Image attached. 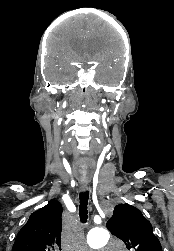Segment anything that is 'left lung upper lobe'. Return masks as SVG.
I'll list each match as a JSON object with an SVG mask.
<instances>
[{
    "mask_svg": "<svg viewBox=\"0 0 174 251\" xmlns=\"http://www.w3.org/2000/svg\"><path fill=\"white\" fill-rule=\"evenodd\" d=\"M107 228L113 235L123 240L130 251H162L152 225L135 207L119 204L113 216L107 222Z\"/></svg>",
    "mask_w": 174,
    "mask_h": 251,
    "instance_id": "5c2ea615",
    "label": "left lung upper lobe"
}]
</instances>
